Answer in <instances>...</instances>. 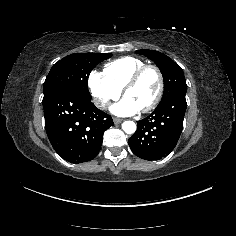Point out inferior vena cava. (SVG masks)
<instances>
[{"instance_id": "obj_1", "label": "inferior vena cava", "mask_w": 236, "mask_h": 236, "mask_svg": "<svg viewBox=\"0 0 236 236\" xmlns=\"http://www.w3.org/2000/svg\"><path fill=\"white\" fill-rule=\"evenodd\" d=\"M93 103L95 104V106L99 109H106L107 105H108V100L106 99H101V98H94L93 99Z\"/></svg>"}]
</instances>
